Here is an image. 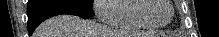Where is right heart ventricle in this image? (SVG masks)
Here are the masks:
<instances>
[{
  "label": "right heart ventricle",
  "instance_id": "right-heart-ventricle-1",
  "mask_svg": "<svg viewBox=\"0 0 219 37\" xmlns=\"http://www.w3.org/2000/svg\"><path fill=\"white\" fill-rule=\"evenodd\" d=\"M137 0H122L118 6L119 18L114 25L125 29H143L150 30L151 27L140 22L135 14L134 8Z\"/></svg>",
  "mask_w": 219,
  "mask_h": 37
}]
</instances>
